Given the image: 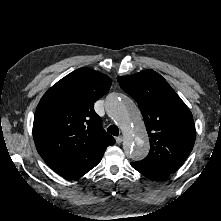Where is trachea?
Instances as JSON below:
<instances>
[{"label": "trachea", "instance_id": "3493384b", "mask_svg": "<svg viewBox=\"0 0 221 221\" xmlns=\"http://www.w3.org/2000/svg\"><path fill=\"white\" fill-rule=\"evenodd\" d=\"M107 132L110 133L113 136L119 135V129L116 125H110L107 129Z\"/></svg>", "mask_w": 221, "mask_h": 221}]
</instances>
